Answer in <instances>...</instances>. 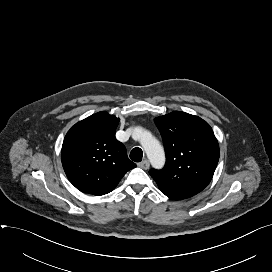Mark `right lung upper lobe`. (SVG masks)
<instances>
[{
    "label": "right lung upper lobe",
    "mask_w": 272,
    "mask_h": 272,
    "mask_svg": "<svg viewBox=\"0 0 272 272\" xmlns=\"http://www.w3.org/2000/svg\"><path fill=\"white\" fill-rule=\"evenodd\" d=\"M119 118L98 112L76 123L66 134L61 159L69 181L96 196L111 192L136 164L115 138Z\"/></svg>",
    "instance_id": "right-lung-upper-lobe-1"
}]
</instances>
